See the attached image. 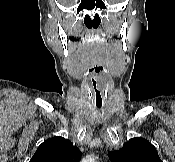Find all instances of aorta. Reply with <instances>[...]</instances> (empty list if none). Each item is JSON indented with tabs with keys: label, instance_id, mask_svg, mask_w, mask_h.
Here are the masks:
<instances>
[{
	"label": "aorta",
	"instance_id": "obj_1",
	"mask_svg": "<svg viewBox=\"0 0 175 162\" xmlns=\"http://www.w3.org/2000/svg\"><path fill=\"white\" fill-rule=\"evenodd\" d=\"M82 162H95L94 156H87Z\"/></svg>",
	"mask_w": 175,
	"mask_h": 162
}]
</instances>
